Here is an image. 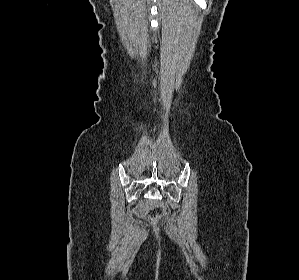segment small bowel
Returning a JSON list of instances; mask_svg holds the SVG:
<instances>
[{"label": "small bowel", "mask_w": 299, "mask_h": 280, "mask_svg": "<svg viewBox=\"0 0 299 280\" xmlns=\"http://www.w3.org/2000/svg\"><path fill=\"white\" fill-rule=\"evenodd\" d=\"M148 207L147 206H142L140 209H139V212L140 213H145L147 211Z\"/></svg>", "instance_id": "c3829d8e"}]
</instances>
